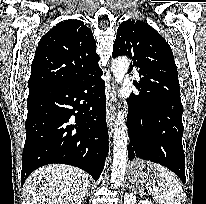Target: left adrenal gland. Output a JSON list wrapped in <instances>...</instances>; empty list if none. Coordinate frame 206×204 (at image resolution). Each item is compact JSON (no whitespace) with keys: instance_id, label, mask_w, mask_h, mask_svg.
<instances>
[{"instance_id":"left-adrenal-gland-1","label":"left adrenal gland","mask_w":206,"mask_h":204,"mask_svg":"<svg viewBox=\"0 0 206 204\" xmlns=\"http://www.w3.org/2000/svg\"><path fill=\"white\" fill-rule=\"evenodd\" d=\"M126 187H130V186H129V183H127Z\"/></svg>"}]
</instances>
